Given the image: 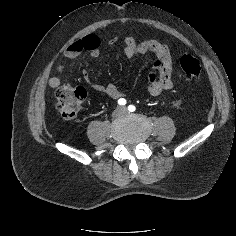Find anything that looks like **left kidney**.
Masks as SVG:
<instances>
[{
    "instance_id": "left-kidney-1",
    "label": "left kidney",
    "mask_w": 236,
    "mask_h": 236,
    "mask_svg": "<svg viewBox=\"0 0 236 236\" xmlns=\"http://www.w3.org/2000/svg\"><path fill=\"white\" fill-rule=\"evenodd\" d=\"M179 105V102H173V107H178Z\"/></svg>"
}]
</instances>
